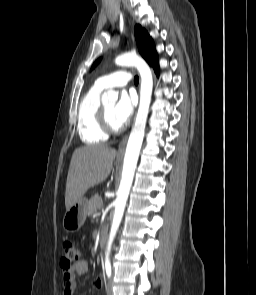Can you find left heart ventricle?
<instances>
[{"mask_svg": "<svg viewBox=\"0 0 256 295\" xmlns=\"http://www.w3.org/2000/svg\"><path fill=\"white\" fill-rule=\"evenodd\" d=\"M115 103H108V104H105L104 107L106 109V112H107V115H108V118L111 122V124L115 127H119L117 125V123L115 122L114 120V110H115Z\"/></svg>", "mask_w": 256, "mask_h": 295, "instance_id": "b2bd125f", "label": "left heart ventricle"}]
</instances>
